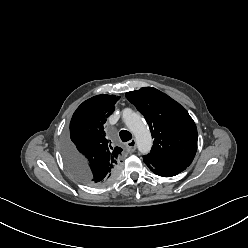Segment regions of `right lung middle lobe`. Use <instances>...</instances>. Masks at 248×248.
I'll use <instances>...</instances> for the list:
<instances>
[{
	"label": "right lung middle lobe",
	"instance_id": "right-lung-middle-lobe-1",
	"mask_svg": "<svg viewBox=\"0 0 248 248\" xmlns=\"http://www.w3.org/2000/svg\"><path fill=\"white\" fill-rule=\"evenodd\" d=\"M69 152V144L68 142H66L64 144V147H63V154H64V159L66 157V154ZM70 170V169H69ZM71 173L78 179V180H81V177H80V174H78L77 172H73L72 170H70Z\"/></svg>",
	"mask_w": 248,
	"mask_h": 248
}]
</instances>
